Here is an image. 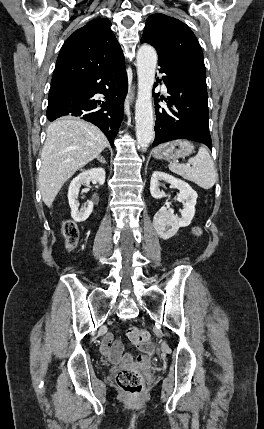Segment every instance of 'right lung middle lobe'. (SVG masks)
<instances>
[{"mask_svg": "<svg viewBox=\"0 0 264 429\" xmlns=\"http://www.w3.org/2000/svg\"><path fill=\"white\" fill-rule=\"evenodd\" d=\"M65 87H59V88H51L49 92V98L63 90Z\"/></svg>", "mask_w": 264, "mask_h": 429, "instance_id": "dd1d6c3e", "label": "right lung middle lobe"}]
</instances>
